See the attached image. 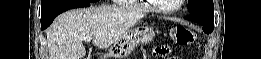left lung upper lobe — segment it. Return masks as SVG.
<instances>
[{
    "label": "left lung upper lobe",
    "instance_id": "1",
    "mask_svg": "<svg viewBox=\"0 0 261 59\" xmlns=\"http://www.w3.org/2000/svg\"><path fill=\"white\" fill-rule=\"evenodd\" d=\"M188 11L191 15L214 19V5L212 0H189Z\"/></svg>",
    "mask_w": 261,
    "mask_h": 59
}]
</instances>
